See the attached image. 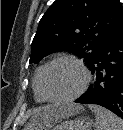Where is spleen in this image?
<instances>
[{"instance_id": "3e777b00", "label": "spleen", "mask_w": 123, "mask_h": 130, "mask_svg": "<svg viewBox=\"0 0 123 130\" xmlns=\"http://www.w3.org/2000/svg\"><path fill=\"white\" fill-rule=\"evenodd\" d=\"M96 117V130H123V120L104 107L89 105Z\"/></svg>"}]
</instances>
